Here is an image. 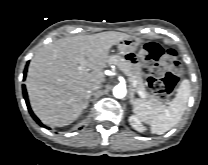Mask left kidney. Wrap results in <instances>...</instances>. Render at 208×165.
<instances>
[{
    "label": "left kidney",
    "mask_w": 208,
    "mask_h": 165,
    "mask_svg": "<svg viewBox=\"0 0 208 165\" xmlns=\"http://www.w3.org/2000/svg\"><path fill=\"white\" fill-rule=\"evenodd\" d=\"M130 125L137 131L143 132L146 128L141 124L140 120L135 116L129 117Z\"/></svg>",
    "instance_id": "1"
}]
</instances>
